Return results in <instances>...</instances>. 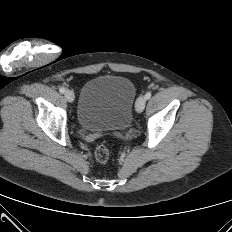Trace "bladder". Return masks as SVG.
<instances>
[{
	"mask_svg": "<svg viewBox=\"0 0 232 232\" xmlns=\"http://www.w3.org/2000/svg\"><path fill=\"white\" fill-rule=\"evenodd\" d=\"M135 101L130 79L119 75L91 78L80 93L77 122L88 131H123L131 123Z\"/></svg>",
	"mask_w": 232,
	"mask_h": 232,
	"instance_id": "1",
	"label": "bladder"
}]
</instances>
